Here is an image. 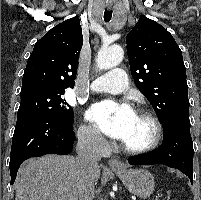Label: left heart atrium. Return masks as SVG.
I'll list each match as a JSON object with an SVG mask.
<instances>
[{
    "mask_svg": "<svg viewBox=\"0 0 201 200\" xmlns=\"http://www.w3.org/2000/svg\"><path fill=\"white\" fill-rule=\"evenodd\" d=\"M135 113L127 104L101 102L91 107L88 118L108 136L123 140Z\"/></svg>",
    "mask_w": 201,
    "mask_h": 200,
    "instance_id": "1",
    "label": "left heart atrium"
}]
</instances>
